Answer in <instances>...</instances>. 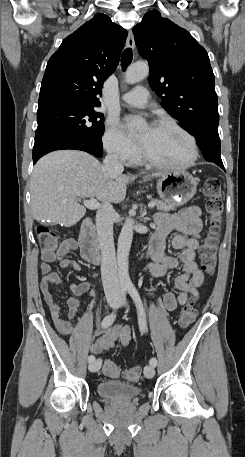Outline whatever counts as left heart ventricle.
<instances>
[{"instance_id": "left-heart-ventricle-1", "label": "left heart ventricle", "mask_w": 245, "mask_h": 457, "mask_svg": "<svg viewBox=\"0 0 245 457\" xmlns=\"http://www.w3.org/2000/svg\"><path fill=\"white\" fill-rule=\"evenodd\" d=\"M139 148L145 154L171 164H180L189 157V141L173 128L145 129L138 136Z\"/></svg>"}]
</instances>
